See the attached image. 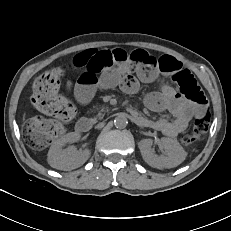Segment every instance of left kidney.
Here are the masks:
<instances>
[{
  "label": "left kidney",
  "mask_w": 231,
  "mask_h": 231,
  "mask_svg": "<svg viewBox=\"0 0 231 231\" xmlns=\"http://www.w3.org/2000/svg\"><path fill=\"white\" fill-rule=\"evenodd\" d=\"M161 146L166 152V156H158L152 150V139H143L139 142L138 147L144 161L154 168H174L181 164L187 153L176 139L161 138Z\"/></svg>",
  "instance_id": "left-kidney-1"
}]
</instances>
